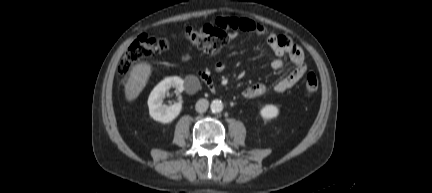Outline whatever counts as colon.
Here are the masks:
<instances>
[{
    "label": "colon",
    "instance_id": "1",
    "mask_svg": "<svg viewBox=\"0 0 432 193\" xmlns=\"http://www.w3.org/2000/svg\"><path fill=\"white\" fill-rule=\"evenodd\" d=\"M186 36L190 44L208 55L218 54L229 40V29L219 22L205 25L201 30L188 29ZM167 49V42L148 34L139 35L122 57L118 71L127 74L133 65L143 58H153ZM319 82L314 73H308L304 81L307 94L318 90Z\"/></svg>",
    "mask_w": 432,
    "mask_h": 193
}]
</instances>
